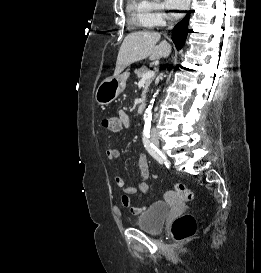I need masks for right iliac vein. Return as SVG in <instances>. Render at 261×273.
<instances>
[{
	"instance_id": "right-iliac-vein-1",
	"label": "right iliac vein",
	"mask_w": 261,
	"mask_h": 273,
	"mask_svg": "<svg viewBox=\"0 0 261 273\" xmlns=\"http://www.w3.org/2000/svg\"><path fill=\"white\" fill-rule=\"evenodd\" d=\"M153 143H154L157 147H159V140H158L157 137H154V138H153Z\"/></svg>"
}]
</instances>
